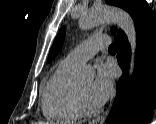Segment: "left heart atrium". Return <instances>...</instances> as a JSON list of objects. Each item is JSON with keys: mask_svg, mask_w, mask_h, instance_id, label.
Here are the masks:
<instances>
[{"mask_svg": "<svg viewBox=\"0 0 156 124\" xmlns=\"http://www.w3.org/2000/svg\"><path fill=\"white\" fill-rule=\"evenodd\" d=\"M114 71L108 64H101L92 82L91 95L98 104H103L111 95L113 90Z\"/></svg>", "mask_w": 156, "mask_h": 124, "instance_id": "1", "label": "left heart atrium"}]
</instances>
